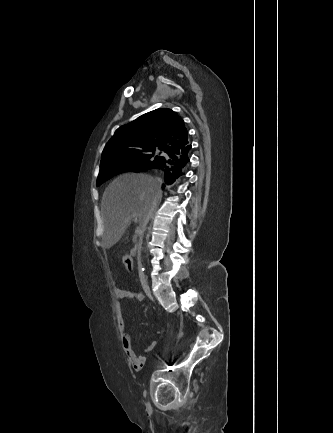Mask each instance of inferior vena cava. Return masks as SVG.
<instances>
[{"label":"inferior vena cava","mask_w":333,"mask_h":433,"mask_svg":"<svg viewBox=\"0 0 333 433\" xmlns=\"http://www.w3.org/2000/svg\"><path fill=\"white\" fill-rule=\"evenodd\" d=\"M156 180H157V189L160 192V190H161V183L162 182H161V180L159 178H157ZM150 217H151V213L147 214L146 217L144 218L141 238L143 236V233H144V231L146 229V226H147V223L149 222Z\"/></svg>","instance_id":"inferior-vena-cava-1"}]
</instances>
